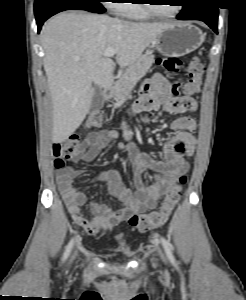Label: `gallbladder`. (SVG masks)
<instances>
[{"label": "gallbladder", "instance_id": "obj_1", "mask_svg": "<svg viewBox=\"0 0 246 300\" xmlns=\"http://www.w3.org/2000/svg\"><path fill=\"white\" fill-rule=\"evenodd\" d=\"M92 87H93V95H92L90 110L95 112L98 111L103 106L104 96L101 88L98 85L93 84Z\"/></svg>", "mask_w": 246, "mask_h": 300}]
</instances>
